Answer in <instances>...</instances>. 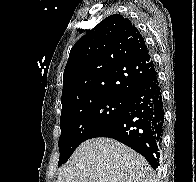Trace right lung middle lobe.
I'll list each match as a JSON object with an SVG mask.
<instances>
[{"label": "right lung middle lobe", "instance_id": "dd1d6c3e", "mask_svg": "<svg viewBox=\"0 0 196 182\" xmlns=\"http://www.w3.org/2000/svg\"><path fill=\"white\" fill-rule=\"evenodd\" d=\"M128 99L100 97L61 112L58 166L65 163L75 149L121 113Z\"/></svg>", "mask_w": 196, "mask_h": 182}]
</instances>
